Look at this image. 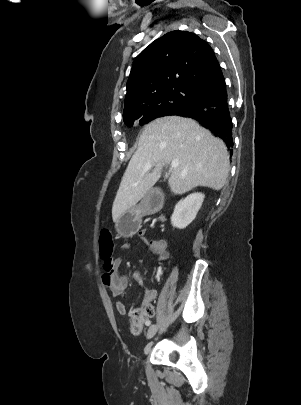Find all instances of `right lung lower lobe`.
<instances>
[{
  "instance_id": "obj_1",
  "label": "right lung lower lobe",
  "mask_w": 301,
  "mask_h": 405,
  "mask_svg": "<svg viewBox=\"0 0 301 405\" xmlns=\"http://www.w3.org/2000/svg\"><path fill=\"white\" fill-rule=\"evenodd\" d=\"M169 115L190 117L220 137L228 148L233 147L232 119L227 102L225 81L208 91L198 101L174 110ZM232 153V149L230 150Z\"/></svg>"
}]
</instances>
